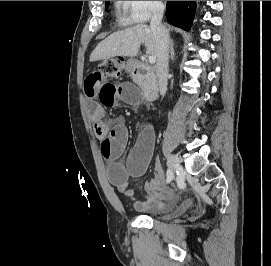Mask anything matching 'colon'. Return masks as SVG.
<instances>
[{"instance_id": "obj_1", "label": "colon", "mask_w": 271, "mask_h": 266, "mask_svg": "<svg viewBox=\"0 0 271 266\" xmlns=\"http://www.w3.org/2000/svg\"><path fill=\"white\" fill-rule=\"evenodd\" d=\"M122 61L117 59H108L101 63L100 70L107 77H117L122 73Z\"/></svg>"}]
</instances>
